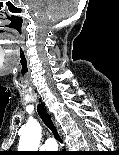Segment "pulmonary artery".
Listing matches in <instances>:
<instances>
[{
    "mask_svg": "<svg viewBox=\"0 0 119 155\" xmlns=\"http://www.w3.org/2000/svg\"><path fill=\"white\" fill-rule=\"evenodd\" d=\"M44 146L46 150L52 151V150H56L57 149V144L56 141L53 138H48L45 142H44Z\"/></svg>",
    "mask_w": 119,
    "mask_h": 155,
    "instance_id": "e3ab8cb5",
    "label": "pulmonary artery"
}]
</instances>
